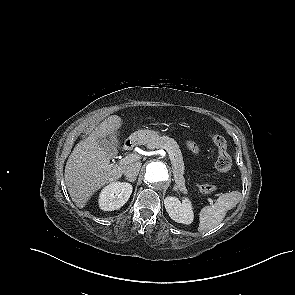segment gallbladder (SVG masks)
<instances>
[{
    "mask_svg": "<svg viewBox=\"0 0 295 295\" xmlns=\"http://www.w3.org/2000/svg\"><path fill=\"white\" fill-rule=\"evenodd\" d=\"M99 145L104 148L108 154L113 153L112 156L115 155V150L113 149L112 145L104 138L98 139Z\"/></svg>",
    "mask_w": 295,
    "mask_h": 295,
    "instance_id": "bac80fb5",
    "label": "gallbladder"
}]
</instances>
